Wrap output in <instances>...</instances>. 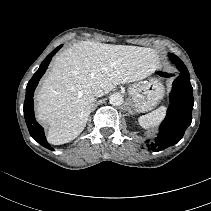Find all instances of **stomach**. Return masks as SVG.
Segmentation results:
<instances>
[{
	"instance_id": "0dacf381",
	"label": "stomach",
	"mask_w": 211,
	"mask_h": 211,
	"mask_svg": "<svg viewBox=\"0 0 211 211\" xmlns=\"http://www.w3.org/2000/svg\"><path fill=\"white\" fill-rule=\"evenodd\" d=\"M164 93V86L156 78L132 84L129 87L131 107L136 112H148L159 104Z\"/></svg>"
}]
</instances>
